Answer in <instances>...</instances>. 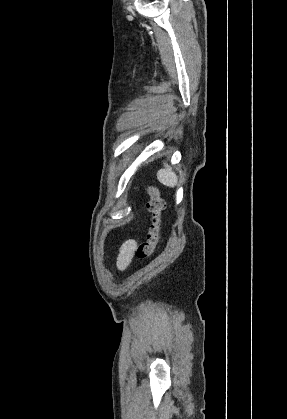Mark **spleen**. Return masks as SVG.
Listing matches in <instances>:
<instances>
[{"label": "spleen", "instance_id": "spleen-1", "mask_svg": "<svg viewBox=\"0 0 287 419\" xmlns=\"http://www.w3.org/2000/svg\"><path fill=\"white\" fill-rule=\"evenodd\" d=\"M157 179L163 185L168 187H175L177 184V176L172 171V169L168 166V164L164 163V168L160 169L157 173Z\"/></svg>", "mask_w": 287, "mask_h": 419}]
</instances>
